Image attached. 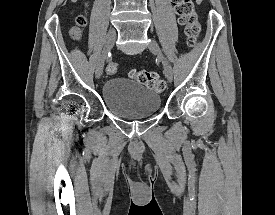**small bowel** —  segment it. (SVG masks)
Segmentation results:
<instances>
[{"mask_svg": "<svg viewBox=\"0 0 275 215\" xmlns=\"http://www.w3.org/2000/svg\"><path fill=\"white\" fill-rule=\"evenodd\" d=\"M203 0H196V2L199 4V3H201Z\"/></svg>", "mask_w": 275, "mask_h": 215, "instance_id": "1", "label": "small bowel"}]
</instances>
